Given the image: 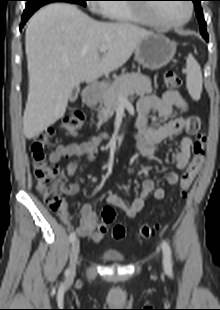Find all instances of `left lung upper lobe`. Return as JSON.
<instances>
[{
    "instance_id": "obj_1",
    "label": "left lung upper lobe",
    "mask_w": 220,
    "mask_h": 310,
    "mask_svg": "<svg viewBox=\"0 0 220 310\" xmlns=\"http://www.w3.org/2000/svg\"><path fill=\"white\" fill-rule=\"evenodd\" d=\"M192 1L194 2L195 9H196V15H197L199 23H200V32H201L203 37H206V36H208V34H207V31L205 28L206 22L204 20L202 9H201V4H200L201 0H192Z\"/></svg>"
}]
</instances>
